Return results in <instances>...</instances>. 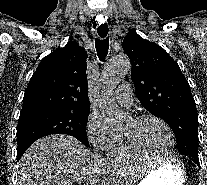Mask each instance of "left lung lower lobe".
Masks as SVG:
<instances>
[{"instance_id": "1", "label": "left lung lower lobe", "mask_w": 207, "mask_h": 185, "mask_svg": "<svg viewBox=\"0 0 207 185\" xmlns=\"http://www.w3.org/2000/svg\"><path fill=\"white\" fill-rule=\"evenodd\" d=\"M189 158L192 159V160L195 162V164H197L198 166H200V165H199V158H198V155H196V154H192V155L189 156Z\"/></svg>"}]
</instances>
